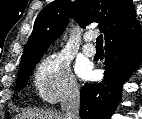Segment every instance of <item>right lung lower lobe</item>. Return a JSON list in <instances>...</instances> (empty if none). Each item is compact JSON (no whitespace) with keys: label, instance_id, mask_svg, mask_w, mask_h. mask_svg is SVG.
I'll list each match as a JSON object with an SVG mask.
<instances>
[{"label":"right lung lower lobe","instance_id":"1","mask_svg":"<svg viewBox=\"0 0 142 119\" xmlns=\"http://www.w3.org/2000/svg\"><path fill=\"white\" fill-rule=\"evenodd\" d=\"M104 79L80 90L81 119H111L121 99L122 85L142 59L141 29L105 45Z\"/></svg>","mask_w":142,"mask_h":119}]
</instances>
